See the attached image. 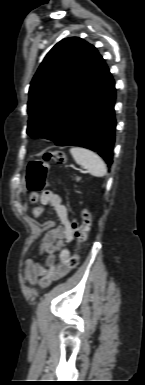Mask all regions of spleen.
<instances>
[{
	"label": "spleen",
	"mask_w": 145,
	"mask_h": 385,
	"mask_svg": "<svg viewBox=\"0 0 145 385\" xmlns=\"http://www.w3.org/2000/svg\"><path fill=\"white\" fill-rule=\"evenodd\" d=\"M75 162L88 170L96 177H103L107 173L104 161L91 150L82 147H72L70 149Z\"/></svg>",
	"instance_id": "1"
}]
</instances>
